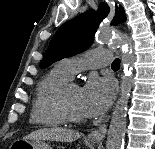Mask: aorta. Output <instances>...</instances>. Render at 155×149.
Here are the masks:
<instances>
[{
    "mask_svg": "<svg viewBox=\"0 0 155 149\" xmlns=\"http://www.w3.org/2000/svg\"><path fill=\"white\" fill-rule=\"evenodd\" d=\"M97 40L103 44L111 43L122 46L124 75L121 77L120 95L112 113L108 129L106 149H124L127 106L134 82L132 69L135 62V55L130 47V43L112 29L101 30L97 36Z\"/></svg>",
    "mask_w": 155,
    "mask_h": 149,
    "instance_id": "aorta-1",
    "label": "aorta"
}]
</instances>
